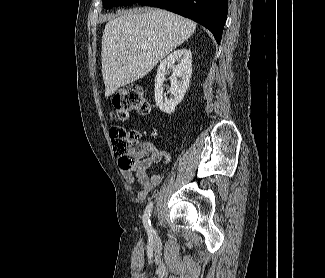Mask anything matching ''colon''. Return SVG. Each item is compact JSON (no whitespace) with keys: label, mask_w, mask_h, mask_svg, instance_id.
Wrapping results in <instances>:
<instances>
[{"label":"colon","mask_w":325,"mask_h":278,"mask_svg":"<svg viewBox=\"0 0 325 278\" xmlns=\"http://www.w3.org/2000/svg\"><path fill=\"white\" fill-rule=\"evenodd\" d=\"M112 105L119 120L124 121L130 112L148 114L150 103L138 86H130L118 90L112 97ZM113 150L119 156L124 169H133L148 147L142 142L136 130H126L121 126L111 128Z\"/></svg>","instance_id":"5ec220e1"}]
</instances>
